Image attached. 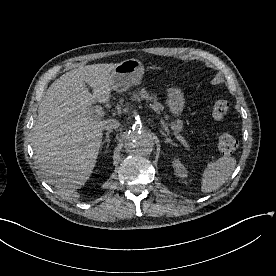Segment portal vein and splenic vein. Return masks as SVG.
<instances>
[{"label": "portal vein and splenic vein", "mask_w": 276, "mask_h": 276, "mask_svg": "<svg viewBox=\"0 0 276 276\" xmlns=\"http://www.w3.org/2000/svg\"><path fill=\"white\" fill-rule=\"evenodd\" d=\"M93 112H94L93 117H95V118L103 117L104 114H105V112L103 111V109H102L101 106H95L93 108ZM174 135L186 148L189 147L188 144H187V142H186V140L180 134H178V132L175 131V130H174Z\"/></svg>", "instance_id": "portal-vein-and-splenic-vein-1"}]
</instances>
